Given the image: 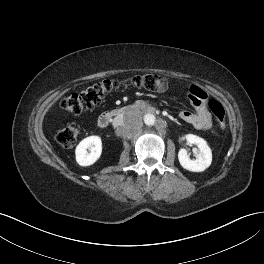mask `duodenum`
<instances>
[{
  "mask_svg": "<svg viewBox=\"0 0 264 264\" xmlns=\"http://www.w3.org/2000/svg\"><path fill=\"white\" fill-rule=\"evenodd\" d=\"M130 108H131L130 106L118 107V108H114V109L104 112L98 118V121H97L98 127L99 128L107 127L113 121L114 118L122 116ZM143 110L148 114H154L156 112V110L150 106L144 107Z\"/></svg>",
  "mask_w": 264,
  "mask_h": 264,
  "instance_id": "1",
  "label": "duodenum"
}]
</instances>
